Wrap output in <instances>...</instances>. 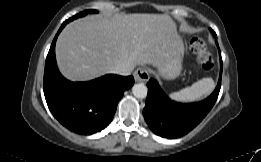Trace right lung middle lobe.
Returning <instances> with one entry per match:
<instances>
[{"label": "right lung middle lobe", "instance_id": "dd1d6c3e", "mask_svg": "<svg viewBox=\"0 0 261 162\" xmlns=\"http://www.w3.org/2000/svg\"><path fill=\"white\" fill-rule=\"evenodd\" d=\"M96 12L95 10H85L83 12H80L79 14L73 16L75 19L78 18V17H81V16H84L86 15L87 13H94Z\"/></svg>", "mask_w": 261, "mask_h": 162}]
</instances>
